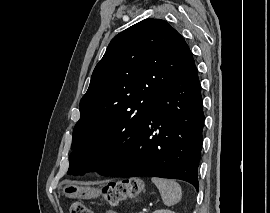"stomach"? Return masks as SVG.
Listing matches in <instances>:
<instances>
[{"label":"stomach","instance_id":"1","mask_svg":"<svg viewBox=\"0 0 270 213\" xmlns=\"http://www.w3.org/2000/svg\"><path fill=\"white\" fill-rule=\"evenodd\" d=\"M63 194L68 198H80V199H91L98 197L101 194V190L92 187L78 186L73 182L65 183L62 188Z\"/></svg>","mask_w":270,"mask_h":213}]
</instances>
